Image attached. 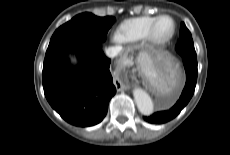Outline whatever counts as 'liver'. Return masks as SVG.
Here are the masks:
<instances>
[{
  "label": "liver",
  "instance_id": "obj_1",
  "mask_svg": "<svg viewBox=\"0 0 230 155\" xmlns=\"http://www.w3.org/2000/svg\"><path fill=\"white\" fill-rule=\"evenodd\" d=\"M79 59L77 56L73 55L70 56V63L71 65H73L74 67H76L78 65Z\"/></svg>",
  "mask_w": 230,
  "mask_h": 155
}]
</instances>
